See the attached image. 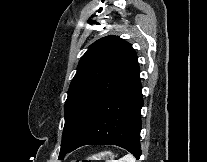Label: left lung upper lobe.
<instances>
[{"mask_svg":"<svg viewBox=\"0 0 207 162\" xmlns=\"http://www.w3.org/2000/svg\"><path fill=\"white\" fill-rule=\"evenodd\" d=\"M138 69L134 49L118 36H106L88 48L68 90L59 159L75 143L100 105Z\"/></svg>","mask_w":207,"mask_h":162,"instance_id":"1","label":"left lung upper lobe"}]
</instances>
